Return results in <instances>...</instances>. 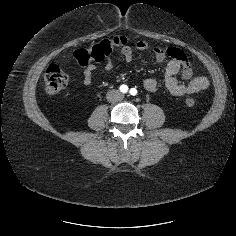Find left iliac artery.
Wrapping results in <instances>:
<instances>
[{"instance_id":"1","label":"left iliac artery","mask_w":236,"mask_h":236,"mask_svg":"<svg viewBox=\"0 0 236 236\" xmlns=\"http://www.w3.org/2000/svg\"><path fill=\"white\" fill-rule=\"evenodd\" d=\"M130 94L133 95V96L136 95L137 94V90L135 88H132L130 90Z\"/></svg>"}]
</instances>
